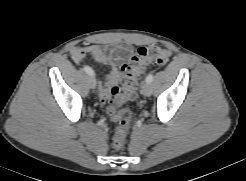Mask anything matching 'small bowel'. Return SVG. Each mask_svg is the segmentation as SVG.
Returning <instances> with one entry per match:
<instances>
[{
  "label": "small bowel",
  "instance_id": "1",
  "mask_svg": "<svg viewBox=\"0 0 246 181\" xmlns=\"http://www.w3.org/2000/svg\"><path fill=\"white\" fill-rule=\"evenodd\" d=\"M131 54L129 48L118 46L106 47L99 44L85 46H74L70 55L75 62H81L86 56H91L98 64L109 67L110 71L103 80L97 81L95 85L102 103L109 89L116 86L122 77L121 66Z\"/></svg>",
  "mask_w": 246,
  "mask_h": 181
}]
</instances>
